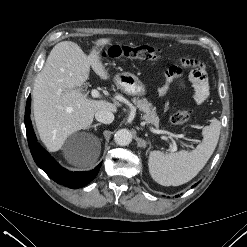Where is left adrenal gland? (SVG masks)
<instances>
[{
  "instance_id": "left-adrenal-gland-1",
  "label": "left adrenal gland",
  "mask_w": 247,
  "mask_h": 247,
  "mask_svg": "<svg viewBox=\"0 0 247 247\" xmlns=\"http://www.w3.org/2000/svg\"><path fill=\"white\" fill-rule=\"evenodd\" d=\"M149 146H151V142L148 140ZM149 149L146 151V154L148 153Z\"/></svg>"
}]
</instances>
